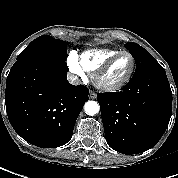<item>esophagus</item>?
<instances>
[{"label": "esophagus", "instance_id": "esophagus-1", "mask_svg": "<svg viewBox=\"0 0 178 178\" xmlns=\"http://www.w3.org/2000/svg\"><path fill=\"white\" fill-rule=\"evenodd\" d=\"M89 98L90 99H96L97 98V94L94 91H90L89 92Z\"/></svg>", "mask_w": 178, "mask_h": 178}]
</instances>
